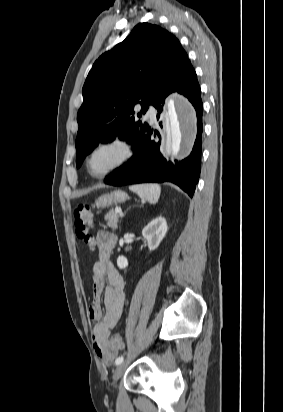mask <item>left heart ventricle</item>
Instances as JSON below:
<instances>
[{"instance_id":"1","label":"left heart ventricle","mask_w":283,"mask_h":412,"mask_svg":"<svg viewBox=\"0 0 283 412\" xmlns=\"http://www.w3.org/2000/svg\"><path fill=\"white\" fill-rule=\"evenodd\" d=\"M122 151L117 146L103 148L97 151L91 159V169L102 172L112 166L120 157Z\"/></svg>"}]
</instances>
